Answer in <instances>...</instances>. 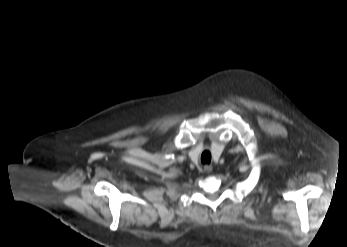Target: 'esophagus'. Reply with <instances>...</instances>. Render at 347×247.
<instances>
[{
	"label": "esophagus",
	"mask_w": 347,
	"mask_h": 247,
	"mask_svg": "<svg viewBox=\"0 0 347 247\" xmlns=\"http://www.w3.org/2000/svg\"><path fill=\"white\" fill-rule=\"evenodd\" d=\"M204 170H205V172L210 173V172H212L213 167L211 165H205Z\"/></svg>",
	"instance_id": "34e87169"
}]
</instances>
